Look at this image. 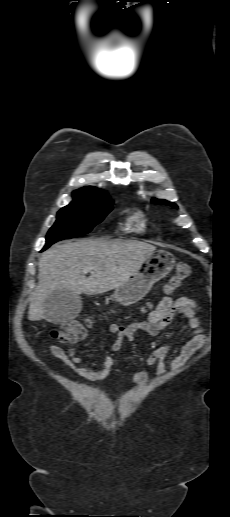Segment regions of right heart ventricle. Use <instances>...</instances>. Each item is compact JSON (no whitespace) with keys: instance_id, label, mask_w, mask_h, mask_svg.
<instances>
[{"instance_id":"obj_1","label":"right heart ventricle","mask_w":230,"mask_h":517,"mask_svg":"<svg viewBox=\"0 0 230 517\" xmlns=\"http://www.w3.org/2000/svg\"><path fill=\"white\" fill-rule=\"evenodd\" d=\"M127 228L136 233H145L149 228V221L143 214L138 212L128 219Z\"/></svg>"}]
</instances>
